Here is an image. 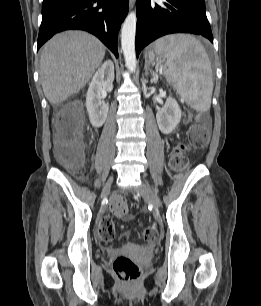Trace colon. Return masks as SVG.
Listing matches in <instances>:
<instances>
[{"label": "colon", "instance_id": "5ec220e1", "mask_svg": "<svg viewBox=\"0 0 261 306\" xmlns=\"http://www.w3.org/2000/svg\"><path fill=\"white\" fill-rule=\"evenodd\" d=\"M83 113L79 106H64L55 118L56 157L58 161L70 169H79L85 159L82 141ZM208 143L206 124L196 125L188 132V143H177L172 150L170 166L175 171H183L189 166L188 147L202 149ZM112 212L118 217L128 215V205L123 197H115L110 202ZM101 240L109 244L115 239V227L111 216L103 215L99 223ZM141 236L145 242L154 243L159 232L156 227H146ZM112 270L123 283H135L141 274L140 266L127 256H118L112 263Z\"/></svg>", "mask_w": 261, "mask_h": 306}]
</instances>
